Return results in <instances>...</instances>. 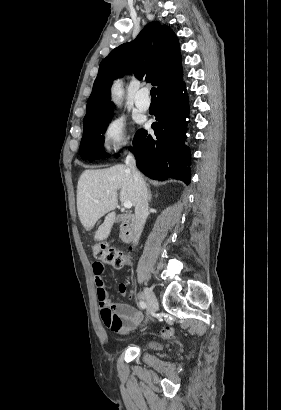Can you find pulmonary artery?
Returning <instances> with one entry per match:
<instances>
[{
    "label": "pulmonary artery",
    "instance_id": "1",
    "mask_svg": "<svg viewBox=\"0 0 281 410\" xmlns=\"http://www.w3.org/2000/svg\"><path fill=\"white\" fill-rule=\"evenodd\" d=\"M135 105L141 111H147L150 107V100L148 98V88L142 87L135 95Z\"/></svg>",
    "mask_w": 281,
    "mask_h": 410
}]
</instances>
